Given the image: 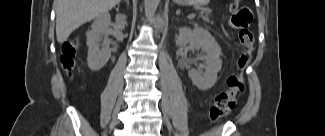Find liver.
Returning <instances> with one entry per match:
<instances>
[{
    "label": "liver",
    "mask_w": 325,
    "mask_h": 136,
    "mask_svg": "<svg viewBox=\"0 0 325 136\" xmlns=\"http://www.w3.org/2000/svg\"><path fill=\"white\" fill-rule=\"evenodd\" d=\"M121 0H54L56 37L65 42L70 34L99 15L106 13Z\"/></svg>",
    "instance_id": "6515ba94"
}]
</instances>
